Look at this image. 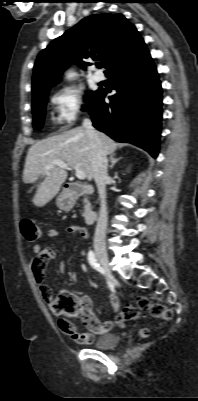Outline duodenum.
<instances>
[{"instance_id": "410a0bca", "label": "duodenum", "mask_w": 198, "mask_h": 401, "mask_svg": "<svg viewBox=\"0 0 198 401\" xmlns=\"http://www.w3.org/2000/svg\"><path fill=\"white\" fill-rule=\"evenodd\" d=\"M93 192H94V190H93V187H91V186L73 183L67 187L66 199L72 205L74 203V201H76L81 196L91 195ZM95 219H96V213L94 212V210H92L91 208H86L84 217H83L85 225H87V226L92 225L94 223Z\"/></svg>"}]
</instances>
